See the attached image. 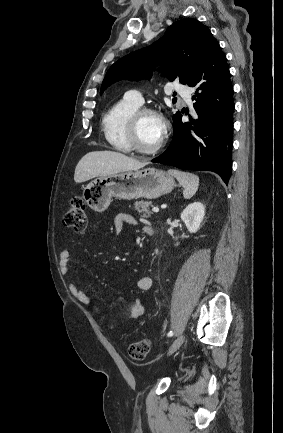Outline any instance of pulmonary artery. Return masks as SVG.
<instances>
[{
	"instance_id": "e3ab8cb5",
	"label": "pulmonary artery",
	"mask_w": 283,
	"mask_h": 433,
	"mask_svg": "<svg viewBox=\"0 0 283 433\" xmlns=\"http://www.w3.org/2000/svg\"><path fill=\"white\" fill-rule=\"evenodd\" d=\"M173 89L175 92H177L178 96H182L183 101L191 106V94H190V88L184 87L182 83H175L173 86ZM167 93H171V91H167ZM126 98L131 101L132 103L141 106L143 104V97L138 91H128Z\"/></svg>"
}]
</instances>
